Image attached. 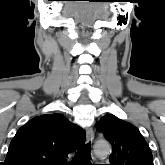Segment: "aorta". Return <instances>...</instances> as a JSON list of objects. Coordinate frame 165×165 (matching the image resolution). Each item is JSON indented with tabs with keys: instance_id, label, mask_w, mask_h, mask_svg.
Wrapping results in <instances>:
<instances>
[{
	"instance_id": "obj_1",
	"label": "aorta",
	"mask_w": 165,
	"mask_h": 165,
	"mask_svg": "<svg viewBox=\"0 0 165 165\" xmlns=\"http://www.w3.org/2000/svg\"><path fill=\"white\" fill-rule=\"evenodd\" d=\"M95 153L99 156L108 155L111 151V146L107 141H99L95 144Z\"/></svg>"
}]
</instances>
